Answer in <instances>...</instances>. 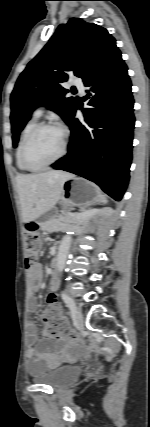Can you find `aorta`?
<instances>
[{
	"mask_svg": "<svg viewBox=\"0 0 150 427\" xmlns=\"http://www.w3.org/2000/svg\"><path fill=\"white\" fill-rule=\"evenodd\" d=\"M71 242H72L71 235L69 232H67V234L61 240L58 254H57V259H56L57 260L56 266L59 272H62L63 269L65 268L67 257L71 247Z\"/></svg>",
	"mask_w": 150,
	"mask_h": 427,
	"instance_id": "1",
	"label": "aorta"
}]
</instances>
